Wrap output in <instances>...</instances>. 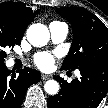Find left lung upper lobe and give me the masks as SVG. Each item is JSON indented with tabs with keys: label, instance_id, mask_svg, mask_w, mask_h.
Instances as JSON below:
<instances>
[{
	"label": "left lung upper lobe",
	"instance_id": "obj_1",
	"mask_svg": "<svg viewBox=\"0 0 108 108\" xmlns=\"http://www.w3.org/2000/svg\"><path fill=\"white\" fill-rule=\"evenodd\" d=\"M56 12L72 24L73 42L61 69L100 67L108 63V28L84 8L65 7Z\"/></svg>",
	"mask_w": 108,
	"mask_h": 108
}]
</instances>
